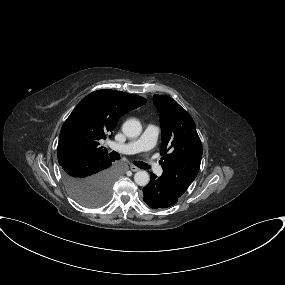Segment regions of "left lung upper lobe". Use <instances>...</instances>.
<instances>
[{
  "label": "left lung upper lobe",
  "instance_id": "obj_1",
  "mask_svg": "<svg viewBox=\"0 0 285 285\" xmlns=\"http://www.w3.org/2000/svg\"><path fill=\"white\" fill-rule=\"evenodd\" d=\"M153 101L161 123L162 175L185 191L196 178L202 158V144L195 123L172 98L155 94Z\"/></svg>",
  "mask_w": 285,
  "mask_h": 285
}]
</instances>
